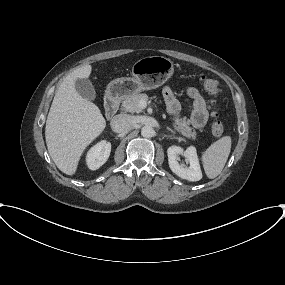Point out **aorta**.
Segmentation results:
<instances>
[{
  "label": "aorta",
  "instance_id": "1",
  "mask_svg": "<svg viewBox=\"0 0 285 285\" xmlns=\"http://www.w3.org/2000/svg\"><path fill=\"white\" fill-rule=\"evenodd\" d=\"M154 134V129L151 126H144L141 129V135L143 137L149 138L152 137Z\"/></svg>",
  "mask_w": 285,
  "mask_h": 285
}]
</instances>
